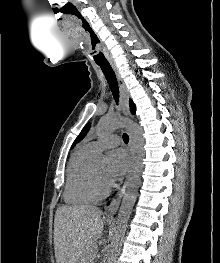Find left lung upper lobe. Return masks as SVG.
I'll use <instances>...</instances> for the list:
<instances>
[{"label": "left lung upper lobe", "instance_id": "1", "mask_svg": "<svg viewBox=\"0 0 220 263\" xmlns=\"http://www.w3.org/2000/svg\"><path fill=\"white\" fill-rule=\"evenodd\" d=\"M130 108H131V112L134 114L135 113V105L133 104L132 101H130ZM90 128V124H87L83 130L81 131V133L78 135V137L76 138V140L74 141L72 148L74 147V145L79 142L80 140L83 139V137L86 135V133L88 132Z\"/></svg>", "mask_w": 220, "mask_h": 263}]
</instances>
